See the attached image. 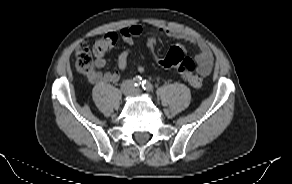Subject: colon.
<instances>
[{
	"mask_svg": "<svg viewBox=\"0 0 292 184\" xmlns=\"http://www.w3.org/2000/svg\"><path fill=\"white\" fill-rule=\"evenodd\" d=\"M159 34L155 30H151L147 35V48L155 57L159 65L165 68H177L181 76L194 88L202 86V77L195 73V64L192 59L187 57L180 46L171 47L163 56L158 55L159 50ZM117 35L115 33H107L96 39L92 47L86 42H81L75 51V62L78 70L89 73L94 69V57L104 55L116 43Z\"/></svg>",
	"mask_w": 292,
	"mask_h": 184,
	"instance_id": "1",
	"label": "colon"
}]
</instances>
